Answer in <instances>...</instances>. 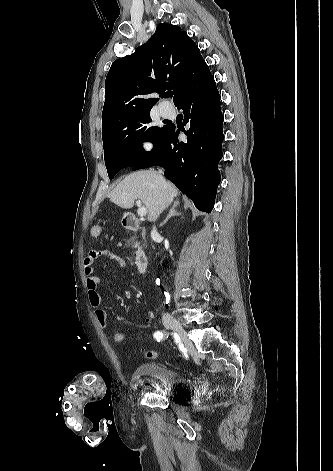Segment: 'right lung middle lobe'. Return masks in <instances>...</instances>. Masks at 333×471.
Returning <instances> with one entry per match:
<instances>
[{
    "instance_id": "1",
    "label": "right lung middle lobe",
    "mask_w": 333,
    "mask_h": 471,
    "mask_svg": "<svg viewBox=\"0 0 333 471\" xmlns=\"http://www.w3.org/2000/svg\"><path fill=\"white\" fill-rule=\"evenodd\" d=\"M170 125L153 126L150 110L126 121L115 123L103 131L104 159L109 179L125 167L142 161L150 152L141 148V143L150 140L155 147L161 142Z\"/></svg>"
}]
</instances>
